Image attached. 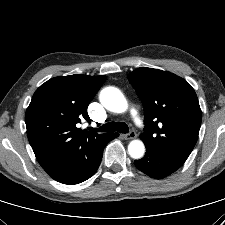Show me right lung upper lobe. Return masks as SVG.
Returning a JSON list of instances; mask_svg holds the SVG:
<instances>
[{"label":"right lung upper lobe","instance_id":"cb5924a9","mask_svg":"<svg viewBox=\"0 0 225 225\" xmlns=\"http://www.w3.org/2000/svg\"><path fill=\"white\" fill-rule=\"evenodd\" d=\"M106 76L74 74L55 77L34 93L26 110L25 123L35 156L48 173L71 158L86 159L109 134L80 130L83 120L91 122L87 107Z\"/></svg>","mask_w":225,"mask_h":225}]
</instances>
